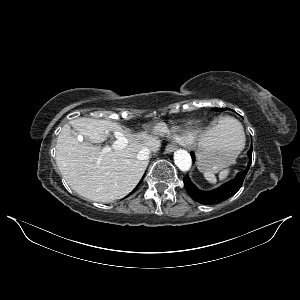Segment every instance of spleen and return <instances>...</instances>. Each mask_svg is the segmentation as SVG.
<instances>
[{"mask_svg":"<svg viewBox=\"0 0 300 300\" xmlns=\"http://www.w3.org/2000/svg\"><path fill=\"white\" fill-rule=\"evenodd\" d=\"M220 125L226 129H228L232 134L237 136L243 144H245V135L243 132V127L236 119L231 117H224L220 122ZM230 173V169H224L219 173V180H224ZM205 179L210 183H216L217 179L213 172L205 171L204 172Z\"/></svg>","mask_w":300,"mask_h":300,"instance_id":"1","label":"spleen"}]
</instances>
